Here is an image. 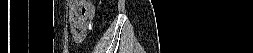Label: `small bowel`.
Listing matches in <instances>:
<instances>
[{"label": "small bowel", "instance_id": "1", "mask_svg": "<svg viewBox=\"0 0 253 53\" xmlns=\"http://www.w3.org/2000/svg\"><path fill=\"white\" fill-rule=\"evenodd\" d=\"M88 5L90 6L91 8V19H93L94 17V9H93V6L90 2H88ZM87 32L88 30L87 29H82V30H77L75 28H72L70 29V34H71V37L74 41L76 42H81L87 35Z\"/></svg>", "mask_w": 253, "mask_h": 53}]
</instances>
